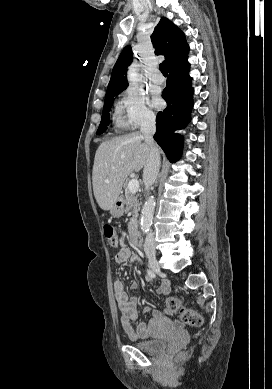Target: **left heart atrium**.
<instances>
[{"mask_svg": "<svg viewBox=\"0 0 272 389\" xmlns=\"http://www.w3.org/2000/svg\"><path fill=\"white\" fill-rule=\"evenodd\" d=\"M153 105L155 107H158V108L161 107L162 106V100L159 97H155L153 99Z\"/></svg>", "mask_w": 272, "mask_h": 389, "instance_id": "39dd6f15", "label": "left heart atrium"}]
</instances>
